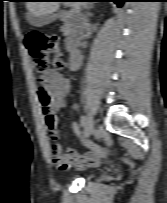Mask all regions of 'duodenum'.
Returning <instances> with one entry per match:
<instances>
[{
  "label": "duodenum",
  "instance_id": "410a0bca",
  "mask_svg": "<svg viewBox=\"0 0 167 203\" xmlns=\"http://www.w3.org/2000/svg\"><path fill=\"white\" fill-rule=\"evenodd\" d=\"M62 20L68 25V33L65 37V47L68 52H73L79 41L83 26L78 17L71 12H67L62 16Z\"/></svg>",
  "mask_w": 167,
  "mask_h": 203
}]
</instances>
